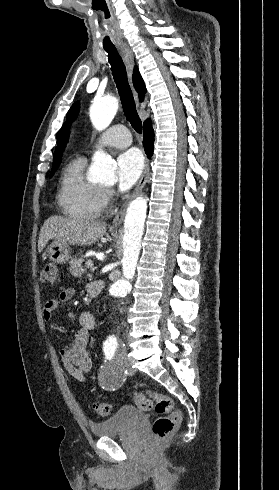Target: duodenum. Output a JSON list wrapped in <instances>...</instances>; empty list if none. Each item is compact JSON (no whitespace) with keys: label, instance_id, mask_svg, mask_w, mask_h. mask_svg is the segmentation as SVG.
Instances as JSON below:
<instances>
[{"label":"duodenum","instance_id":"410a0bca","mask_svg":"<svg viewBox=\"0 0 279 490\" xmlns=\"http://www.w3.org/2000/svg\"><path fill=\"white\" fill-rule=\"evenodd\" d=\"M101 289H102V283L99 281L94 282L89 287V294L92 297H95L100 293Z\"/></svg>","mask_w":279,"mask_h":490}]
</instances>
